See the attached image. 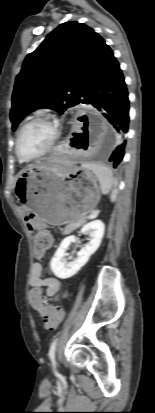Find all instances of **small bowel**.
Segmentation results:
<instances>
[{
	"label": "small bowel",
	"mask_w": 155,
	"mask_h": 413,
	"mask_svg": "<svg viewBox=\"0 0 155 413\" xmlns=\"http://www.w3.org/2000/svg\"><path fill=\"white\" fill-rule=\"evenodd\" d=\"M18 212L20 213L24 227H27L28 231H43V235L48 240L47 247H49L53 240L51 235L46 232L48 229L47 222H42L41 218H36L33 211L29 209L27 205H20L18 207ZM41 266L42 264L35 263L31 268L29 279L31 289L29 291V296L31 293H37L43 296L45 290L47 297H53L60 289V282L57 278L47 277L46 274H42L40 272Z\"/></svg>",
	"instance_id": "c3829d8e"
}]
</instances>
